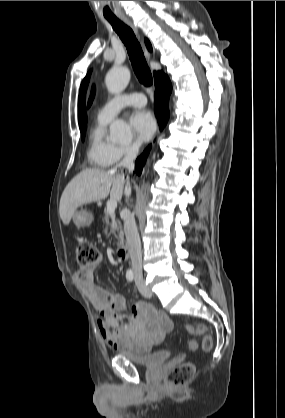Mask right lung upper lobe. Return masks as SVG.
<instances>
[{
    "label": "right lung upper lobe",
    "mask_w": 285,
    "mask_h": 418,
    "mask_svg": "<svg viewBox=\"0 0 285 418\" xmlns=\"http://www.w3.org/2000/svg\"><path fill=\"white\" fill-rule=\"evenodd\" d=\"M145 43L146 46L148 48L149 51L152 50L151 44L150 42L145 39ZM163 72H154V79H155V84L157 83L159 76L162 74ZM89 77H90V72L86 75V77L84 78L81 87H80V93H79V102H78V120H79V127H84L86 126V114H85V94H86V89H87V85L89 82Z\"/></svg>",
    "instance_id": "obj_1"
}]
</instances>
